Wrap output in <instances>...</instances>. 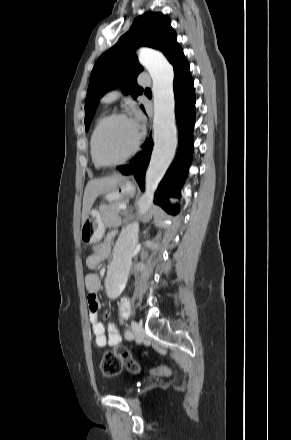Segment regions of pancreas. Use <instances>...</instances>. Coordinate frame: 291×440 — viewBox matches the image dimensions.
I'll return each mask as SVG.
<instances>
[{"mask_svg":"<svg viewBox=\"0 0 291 440\" xmlns=\"http://www.w3.org/2000/svg\"><path fill=\"white\" fill-rule=\"evenodd\" d=\"M124 202H114L109 205L102 204L99 206V213L106 227H114L121 221L119 208L120 204Z\"/></svg>","mask_w":291,"mask_h":440,"instance_id":"1","label":"pancreas"}]
</instances>
